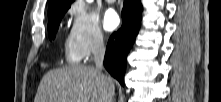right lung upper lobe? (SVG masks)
Returning a JSON list of instances; mask_svg holds the SVG:
<instances>
[{"label": "right lung upper lobe", "instance_id": "right-lung-upper-lobe-1", "mask_svg": "<svg viewBox=\"0 0 221 102\" xmlns=\"http://www.w3.org/2000/svg\"><path fill=\"white\" fill-rule=\"evenodd\" d=\"M73 0H49L48 18H51L58 11L69 8Z\"/></svg>", "mask_w": 221, "mask_h": 102}]
</instances>
